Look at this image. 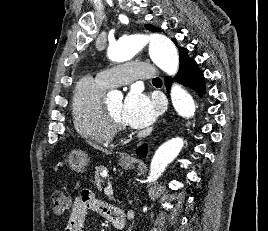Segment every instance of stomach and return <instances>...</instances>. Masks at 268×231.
<instances>
[{"label":"stomach","mask_w":268,"mask_h":231,"mask_svg":"<svg viewBox=\"0 0 268 231\" xmlns=\"http://www.w3.org/2000/svg\"><path fill=\"white\" fill-rule=\"evenodd\" d=\"M89 160L88 154L82 150H73L66 158V162L69 164L70 168L76 172H84ZM120 165L126 170L133 168L131 161H121Z\"/></svg>","instance_id":"stomach-1"}]
</instances>
